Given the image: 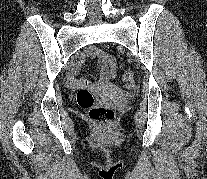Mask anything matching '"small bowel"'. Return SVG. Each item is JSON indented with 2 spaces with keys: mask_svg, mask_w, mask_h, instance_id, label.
I'll use <instances>...</instances> for the list:
<instances>
[{
  "mask_svg": "<svg viewBox=\"0 0 207 179\" xmlns=\"http://www.w3.org/2000/svg\"><path fill=\"white\" fill-rule=\"evenodd\" d=\"M88 57L98 58V67L100 69V79L97 82H90L86 79L77 78L76 74L80 70ZM116 74V62L114 58L107 52L100 50L97 47H89L85 50L83 56L76 62L72 68L68 85L71 88H90L97 89L100 86L106 85Z\"/></svg>",
  "mask_w": 207,
  "mask_h": 179,
  "instance_id": "c3829d8e",
  "label": "small bowel"
}]
</instances>
